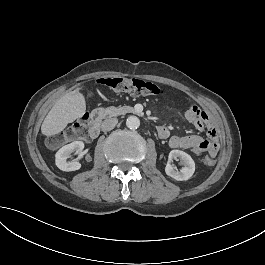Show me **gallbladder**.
Returning <instances> with one entry per match:
<instances>
[{
    "label": "gallbladder",
    "mask_w": 265,
    "mask_h": 265,
    "mask_svg": "<svg viewBox=\"0 0 265 265\" xmlns=\"http://www.w3.org/2000/svg\"><path fill=\"white\" fill-rule=\"evenodd\" d=\"M94 96H95L94 94L92 95V94L89 92V95H88L89 98H93Z\"/></svg>",
    "instance_id": "bac80fb5"
}]
</instances>
